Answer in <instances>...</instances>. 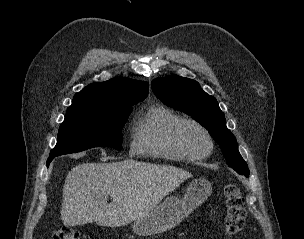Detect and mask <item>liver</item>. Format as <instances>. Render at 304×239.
Masks as SVG:
<instances>
[{"label":"liver","instance_id":"1","mask_svg":"<svg viewBox=\"0 0 304 239\" xmlns=\"http://www.w3.org/2000/svg\"><path fill=\"white\" fill-rule=\"evenodd\" d=\"M191 176L174 166L132 159L83 163L66 176L61 219L68 226L92 222L107 227L124 226L151 212ZM109 195L112 202L108 204Z\"/></svg>","mask_w":304,"mask_h":239}]
</instances>
